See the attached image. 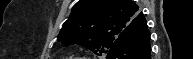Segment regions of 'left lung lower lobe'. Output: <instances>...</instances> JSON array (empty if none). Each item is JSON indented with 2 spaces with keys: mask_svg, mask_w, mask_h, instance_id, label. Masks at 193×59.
<instances>
[{
  "mask_svg": "<svg viewBox=\"0 0 193 59\" xmlns=\"http://www.w3.org/2000/svg\"><path fill=\"white\" fill-rule=\"evenodd\" d=\"M107 59H151L150 32L142 15L107 53Z\"/></svg>",
  "mask_w": 193,
  "mask_h": 59,
  "instance_id": "left-lung-lower-lobe-1",
  "label": "left lung lower lobe"
}]
</instances>
